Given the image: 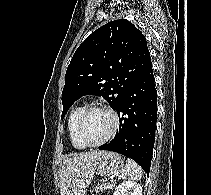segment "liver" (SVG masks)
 Here are the masks:
<instances>
[{"mask_svg":"<svg viewBox=\"0 0 211 195\" xmlns=\"http://www.w3.org/2000/svg\"><path fill=\"white\" fill-rule=\"evenodd\" d=\"M102 151L80 153L66 158L60 170L61 195H84L93 178L95 161Z\"/></svg>","mask_w":211,"mask_h":195,"instance_id":"6515ba94","label":"liver"}]
</instances>
